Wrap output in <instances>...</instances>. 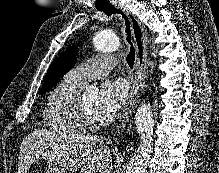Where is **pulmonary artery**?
<instances>
[{"instance_id": "1", "label": "pulmonary artery", "mask_w": 219, "mask_h": 173, "mask_svg": "<svg viewBox=\"0 0 219 173\" xmlns=\"http://www.w3.org/2000/svg\"><path fill=\"white\" fill-rule=\"evenodd\" d=\"M116 63V59L104 55H95L76 66L66 75L68 80L84 86L89 80L108 74Z\"/></svg>"}]
</instances>
